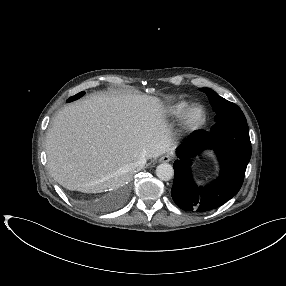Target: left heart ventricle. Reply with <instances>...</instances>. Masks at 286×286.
<instances>
[{"instance_id":"obj_1","label":"left heart ventricle","mask_w":286,"mask_h":286,"mask_svg":"<svg viewBox=\"0 0 286 286\" xmlns=\"http://www.w3.org/2000/svg\"><path fill=\"white\" fill-rule=\"evenodd\" d=\"M200 115H201L200 111H199V110H196V111L193 113V118L197 120V119L200 118Z\"/></svg>"}]
</instances>
